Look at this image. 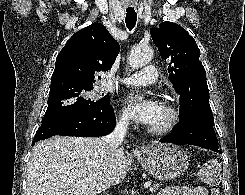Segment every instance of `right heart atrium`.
<instances>
[{
	"label": "right heart atrium",
	"mask_w": 245,
	"mask_h": 195,
	"mask_svg": "<svg viewBox=\"0 0 245 195\" xmlns=\"http://www.w3.org/2000/svg\"><path fill=\"white\" fill-rule=\"evenodd\" d=\"M130 122V116L127 111L121 110L117 115V123L120 126H127Z\"/></svg>",
	"instance_id": "1"
}]
</instances>
